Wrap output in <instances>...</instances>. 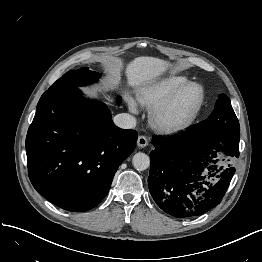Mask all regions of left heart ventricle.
I'll return each instance as SVG.
<instances>
[{"mask_svg":"<svg viewBox=\"0 0 262 262\" xmlns=\"http://www.w3.org/2000/svg\"><path fill=\"white\" fill-rule=\"evenodd\" d=\"M199 98V89L190 87L183 92L177 104L168 112V120H177L190 114Z\"/></svg>","mask_w":262,"mask_h":262,"instance_id":"obj_1","label":"left heart ventricle"}]
</instances>
